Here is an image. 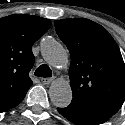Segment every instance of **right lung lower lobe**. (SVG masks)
Listing matches in <instances>:
<instances>
[{"label":"right lung lower lobe","mask_w":125,"mask_h":125,"mask_svg":"<svg viewBox=\"0 0 125 125\" xmlns=\"http://www.w3.org/2000/svg\"><path fill=\"white\" fill-rule=\"evenodd\" d=\"M23 99L15 100L6 104L0 105V113L5 112L15 106H17Z\"/></svg>","instance_id":"1"}]
</instances>
